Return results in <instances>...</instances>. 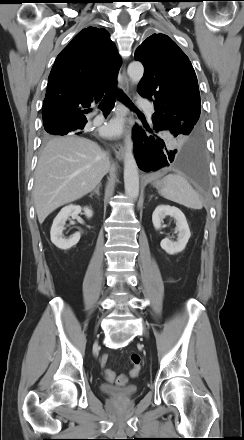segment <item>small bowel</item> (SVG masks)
Instances as JSON below:
<instances>
[{"mask_svg":"<svg viewBox=\"0 0 244 440\" xmlns=\"http://www.w3.org/2000/svg\"><path fill=\"white\" fill-rule=\"evenodd\" d=\"M105 362H106V355H104V356L102 357V365H104Z\"/></svg>","mask_w":244,"mask_h":440,"instance_id":"small-bowel-1","label":"small bowel"}]
</instances>
